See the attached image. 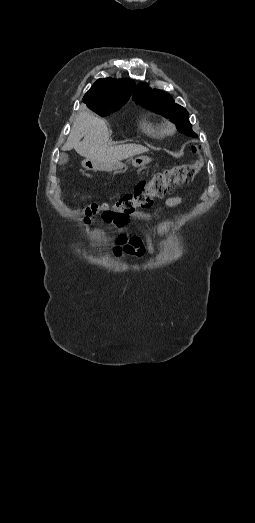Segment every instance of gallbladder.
Returning a JSON list of instances; mask_svg holds the SVG:
<instances>
[{
  "label": "gallbladder",
  "mask_w": 255,
  "mask_h": 523,
  "mask_svg": "<svg viewBox=\"0 0 255 523\" xmlns=\"http://www.w3.org/2000/svg\"><path fill=\"white\" fill-rule=\"evenodd\" d=\"M69 158L67 154H60L59 156V164H67Z\"/></svg>",
  "instance_id": "gallbladder-1"
}]
</instances>
